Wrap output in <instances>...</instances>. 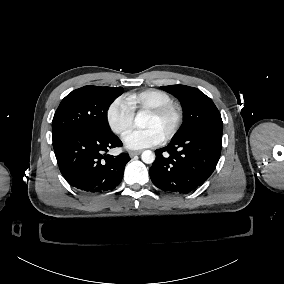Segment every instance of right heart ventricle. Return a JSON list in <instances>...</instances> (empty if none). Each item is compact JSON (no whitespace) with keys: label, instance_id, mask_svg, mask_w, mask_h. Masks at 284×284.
<instances>
[{"label":"right heart ventricle","instance_id":"obj_1","mask_svg":"<svg viewBox=\"0 0 284 284\" xmlns=\"http://www.w3.org/2000/svg\"><path fill=\"white\" fill-rule=\"evenodd\" d=\"M133 109L148 111L165 104L173 103V98L169 93L157 88H146L133 93L128 97Z\"/></svg>","mask_w":284,"mask_h":284}]
</instances>
